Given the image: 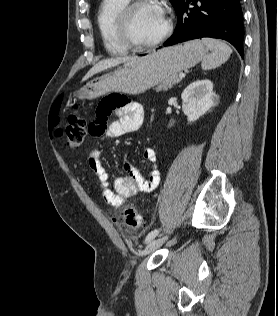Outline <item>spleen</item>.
Returning a JSON list of instances; mask_svg holds the SVG:
<instances>
[{"label": "spleen", "instance_id": "obj_1", "mask_svg": "<svg viewBox=\"0 0 278 316\" xmlns=\"http://www.w3.org/2000/svg\"><path fill=\"white\" fill-rule=\"evenodd\" d=\"M211 51L204 56L201 67L203 70H210L220 66L227 61L232 53V49L224 42L212 39L202 38L201 41Z\"/></svg>", "mask_w": 278, "mask_h": 316}]
</instances>
